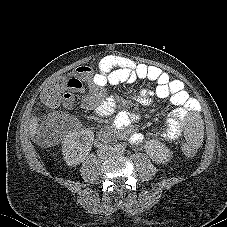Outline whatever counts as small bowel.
I'll return each mask as SVG.
<instances>
[{
	"label": "small bowel",
	"instance_id": "c3829d8e",
	"mask_svg": "<svg viewBox=\"0 0 227 227\" xmlns=\"http://www.w3.org/2000/svg\"><path fill=\"white\" fill-rule=\"evenodd\" d=\"M74 77L66 78V89L63 93V104L71 107L76 102V92H83L88 89L89 94L81 100V107L86 110H94L99 119L107 117L114 109V102L110 99L101 98L103 90L108 85H118L121 83H133L139 79H146L156 84L154 89H144L138 96L137 101L142 106H151L155 97L169 99L176 110L167 120V128L163 132V137L170 141L179 139L183 132L184 120L187 115V108L196 110V104L191 101L184 84L173 79L164 70L154 65L136 63L131 59L121 56H105L98 63V72L94 73L88 66L76 68ZM67 121H73L72 115H56ZM133 122V117L120 115L114 123V134H122L129 124ZM129 142L137 145L146 140L142 132H133L128 135Z\"/></svg>",
	"mask_w": 227,
	"mask_h": 227
}]
</instances>
